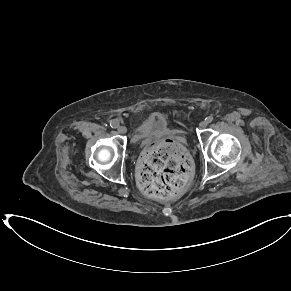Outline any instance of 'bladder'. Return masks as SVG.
Wrapping results in <instances>:
<instances>
[{
    "label": "bladder",
    "instance_id": "1",
    "mask_svg": "<svg viewBox=\"0 0 291 291\" xmlns=\"http://www.w3.org/2000/svg\"><path fill=\"white\" fill-rule=\"evenodd\" d=\"M171 129L168 119L163 114H157L139 124L136 133L144 137H155L167 133Z\"/></svg>",
    "mask_w": 291,
    "mask_h": 291
}]
</instances>
